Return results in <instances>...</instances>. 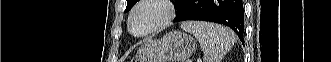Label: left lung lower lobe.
Returning <instances> with one entry per match:
<instances>
[{
	"label": "left lung lower lobe",
	"mask_w": 331,
	"mask_h": 62,
	"mask_svg": "<svg viewBox=\"0 0 331 62\" xmlns=\"http://www.w3.org/2000/svg\"><path fill=\"white\" fill-rule=\"evenodd\" d=\"M203 20L226 25L244 42L242 0H187L174 22Z\"/></svg>",
	"instance_id": "obj_1"
}]
</instances>
